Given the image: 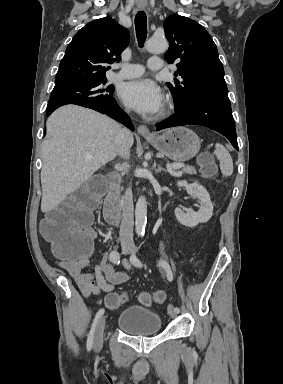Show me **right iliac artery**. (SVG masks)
I'll list each match as a JSON object with an SVG mask.
<instances>
[{"label":"right iliac artery","mask_w":283,"mask_h":384,"mask_svg":"<svg viewBox=\"0 0 283 384\" xmlns=\"http://www.w3.org/2000/svg\"><path fill=\"white\" fill-rule=\"evenodd\" d=\"M109 259L111 262H113L114 264H119L120 263V255L117 251H112L109 255ZM104 314V309H100L97 313H96V316L94 318V321H93V324H92V327H91V330L88 334V338H87V350L90 351L91 348H92V344H93V338H94V332H95V329H96V326H97V323H98V320L101 318V316Z\"/></svg>","instance_id":"obj_1"}]
</instances>
